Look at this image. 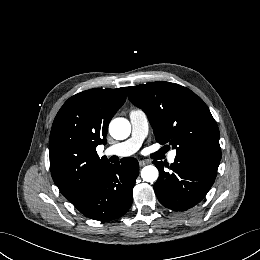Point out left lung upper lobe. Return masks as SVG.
Wrapping results in <instances>:
<instances>
[{
    "instance_id": "left-lung-upper-lobe-1",
    "label": "left lung upper lobe",
    "mask_w": 260,
    "mask_h": 260,
    "mask_svg": "<svg viewBox=\"0 0 260 260\" xmlns=\"http://www.w3.org/2000/svg\"><path fill=\"white\" fill-rule=\"evenodd\" d=\"M128 98L147 114L157 142H169L178 155L221 159L217 124L203 100L188 88L157 81L130 86Z\"/></svg>"
}]
</instances>
